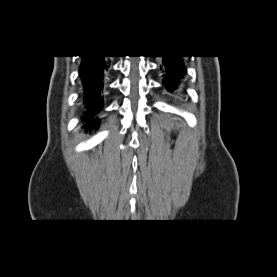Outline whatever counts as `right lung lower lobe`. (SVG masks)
<instances>
[{"label": "right lung lower lobe", "instance_id": "obj_1", "mask_svg": "<svg viewBox=\"0 0 277 277\" xmlns=\"http://www.w3.org/2000/svg\"><path fill=\"white\" fill-rule=\"evenodd\" d=\"M109 62L104 56H82L79 73L83 83L84 98L87 108L84 122L86 128L91 129L98 126V119L95 115L100 112L103 104L101 91L103 88V74L107 72Z\"/></svg>", "mask_w": 277, "mask_h": 277}]
</instances>
